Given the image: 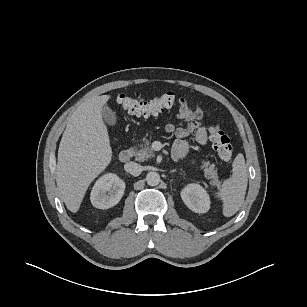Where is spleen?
I'll use <instances>...</instances> for the list:
<instances>
[{
  "instance_id": "3e777b00",
  "label": "spleen",
  "mask_w": 307,
  "mask_h": 307,
  "mask_svg": "<svg viewBox=\"0 0 307 307\" xmlns=\"http://www.w3.org/2000/svg\"><path fill=\"white\" fill-rule=\"evenodd\" d=\"M232 167V176L223 182L217 193V196L223 201V215L225 217L233 216L240 209L248 183L247 167L242 153L235 157Z\"/></svg>"
}]
</instances>
